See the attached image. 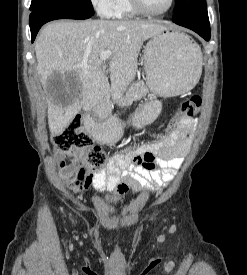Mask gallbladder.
<instances>
[{"mask_svg":"<svg viewBox=\"0 0 247 275\" xmlns=\"http://www.w3.org/2000/svg\"><path fill=\"white\" fill-rule=\"evenodd\" d=\"M79 82L73 73L61 74L55 72L46 83V91L54 100L65 102L70 95H74L79 88Z\"/></svg>","mask_w":247,"mask_h":275,"instance_id":"1","label":"gallbladder"}]
</instances>
